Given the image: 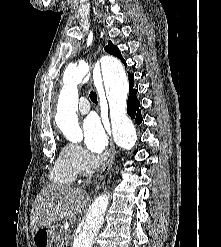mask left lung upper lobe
Here are the masks:
<instances>
[{
  "label": "left lung upper lobe",
  "instance_id": "left-lung-upper-lobe-1",
  "mask_svg": "<svg viewBox=\"0 0 221 247\" xmlns=\"http://www.w3.org/2000/svg\"><path fill=\"white\" fill-rule=\"evenodd\" d=\"M105 51L110 53L111 55L118 57L125 64V66H127L125 60L121 56V53H120L118 47L114 46L111 41L108 42V45L105 47ZM128 75H132V74L128 73Z\"/></svg>",
  "mask_w": 221,
  "mask_h": 247
}]
</instances>
